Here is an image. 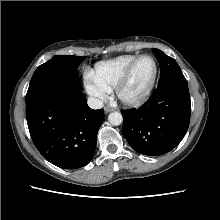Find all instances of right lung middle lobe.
I'll use <instances>...</instances> for the list:
<instances>
[{"mask_svg":"<svg viewBox=\"0 0 220 220\" xmlns=\"http://www.w3.org/2000/svg\"><path fill=\"white\" fill-rule=\"evenodd\" d=\"M85 56L56 55L40 65L32 76L26 94V103L45 96L68 95L77 91L78 65Z\"/></svg>","mask_w":220,"mask_h":220,"instance_id":"obj_1","label":"right lung middle lobe"}]
</instances>
